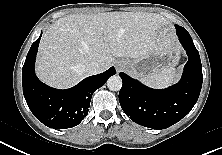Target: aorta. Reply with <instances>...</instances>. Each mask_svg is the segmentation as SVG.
Instances as JSON below:
<instances>
[{"mask_svg": "<svg viewBox=\"0 0 222 155\" xmlns=\"http://www.w3.org/2000/svg\"><path fill=\"white\" fill-rule=\"evenodd\" d=\"M107 87L111 91H119L122 87V79L119 76H111L107 80Z\"/></svg>", "mask_w": 222, "mask_h": 155, "instance_id": "aorta-1", "label": "aorta"}]
</instances>
